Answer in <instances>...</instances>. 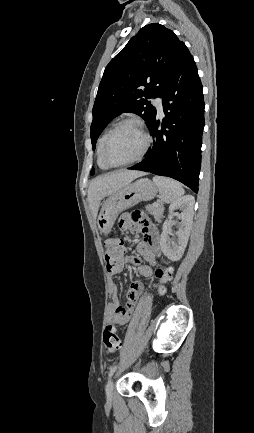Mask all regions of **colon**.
Wrapping results in <instances>:
<instances>
[{"instance_id": "1", "label": "colon", "mask_w": 254, "mask_h": 433, "mask_svg": "<svg viewBox=\"0 0 254 433\" xmlns=\"http://www.w3.org/2000/svg\"><path fill=\"white\" fill-rule=\"evenodd\" d=\"M144 220L141 213L135 211L130 214L131 222H142ZM123 246L117 239L108 238L104 243V259L108 271L116 270L123 257ZM172 276V268L167 267L157 271V277L161 282L168 281ZM121 347V338L118 328L114 324L106 325L103 332V349L106 355L115 354Z\"/></svg>"}]
</instances>
